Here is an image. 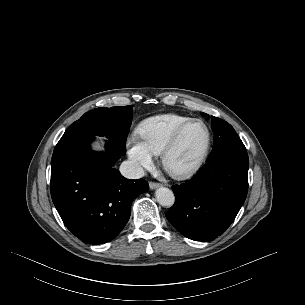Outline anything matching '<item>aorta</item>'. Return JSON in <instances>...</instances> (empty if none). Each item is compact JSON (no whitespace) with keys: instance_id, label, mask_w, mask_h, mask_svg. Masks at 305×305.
<instances>
[{"instance_id":"aorta-1","label":"aorta","mask_w":305,"mask_h":305,"mask_svg":"<svg viewBox=\"0 0 305 305\" xmlns=\"http://www.w3.org/2000/svg\"><path fill=\"white\" fill-rule=\"evenodd\" d=\"M158 203L165 207H171L175 202V196L172 190L166 187H160L155 192Z\"/></svg>"}]
</instances>
